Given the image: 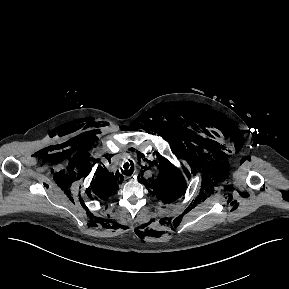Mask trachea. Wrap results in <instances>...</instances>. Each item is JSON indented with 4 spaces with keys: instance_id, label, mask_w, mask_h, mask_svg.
<instances>
[{
    "instance_id": "trachea-1",
    "label": "trachea",
    "mask_w": 289,
    "mask_h": 289,
    "mask_svg": "<svg viewBox=\"0 0 289 289\" xmlns=\"http://www.w3.org/2000/svg\"><path fill=\"white\" fill-rule=\"evenodd\" d=\"M123 167L124 170L122 169V173L126 176H130L134 171V165L132 164V161H130V164L126 162Z\"/></svg>"
}]
</instances>
